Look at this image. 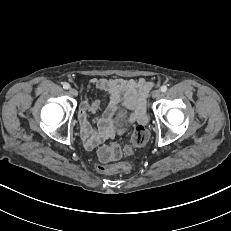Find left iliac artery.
Segmentation results:
<instances>
[{
  "instance_id": "44dca946",
  "label": "left iliac artery",
  "mask_w": 231,
  "mask_h": 231,
  "mask_svg": "<svg viewBox=\"0 0 231 231\" xmlns=\"http://www.w3.org/2000/svg\"><path fill=\"white\" fill-rule=\"evenodd\" d=\"M160 90H161V92H166L167 86L166 85L161 86Z\"/></svg>"
}]
</instances>
